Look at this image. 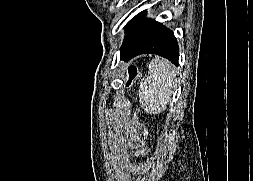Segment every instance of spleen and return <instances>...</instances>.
<instances>
[{
	"label": "spleen",
	"mask_w": 253,
	"mask_h": 181,
	"mask_svg": "<svg viewBox=\"0 0 253 181\" xmlns=\"http://www.w3.org/2000/svg\"><path fill=\"white\" fill-rule=\"evenodd\" d=\"M175 79L174 70L169 61L154 58L149 64L148 76L140 85L139 100L149 114H159L165 110Z\"/></svg>",
	"instance_id": "obj_1"
}]
</instances>
